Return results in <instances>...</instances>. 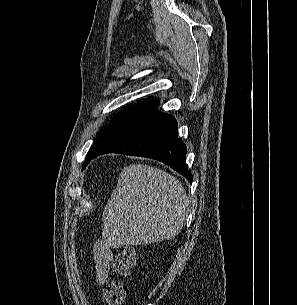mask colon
<instances>
[{
  "label": "colon",
  "mask_w": 297,
  "mask_h": 305,
  "mask_svg": "<svg viewBox=\"0 0 297 305\" xmlns=\"http://www.w3.org/2000/svg\"><path fill=\"white\" fill-rule=\"evenodd\" d=\"M137 262L138 254L133 247H124L117 253L112 264L113 277L103 286L104 305H124L127 296L124 278L131 274Z\"/></svg>",
  "instance_id": "5ec220e1"
}]
</instances>
